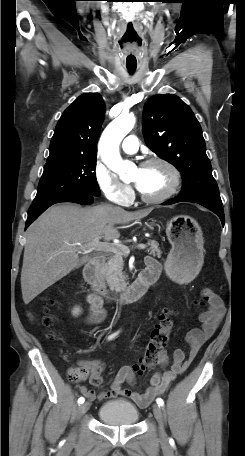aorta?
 I'll use <instances>...</instances> for the list:
<instances>
[{
    "label": "aorta",
    "mask_w": 245,
    "mask_h": 456,
    "mask_svg": "<svg viewBox=\"0 0 245 456\" xmlns=\"http://www.w3.org/2000/svg\"><path fill=\"white\" fill-rule=\"evenodd\" d=\"M134 125L135 117L133 115L122 114L106 127L99 141V151L103 162L121 178L126 176L132 163L121 158L119 145Z\"/></svg>",
    "instance_id": "obj_1"
}]
</instances>
